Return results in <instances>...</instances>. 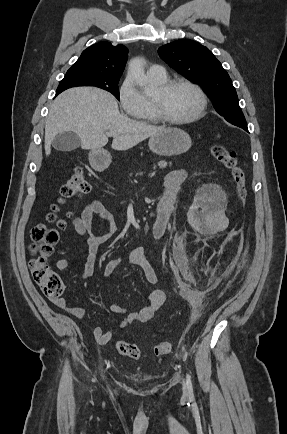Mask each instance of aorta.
I'll list each match as a JSON object with an SVG mask.
<instances>
[{
  "mask_svg": "<svg viewBox=\"0 0 287 434\" xmlns=\"http://www.w3.org/2000/svg\"><path fill=\"white\" fill-rule=\"evenodd\" d=\"M144 63L139 57L132 59L128 66V76L145 91H150L151 86L144 71Z\"/></svg>",
  "mask_w": 287,
  "mask_h": 434,
  "instance_id": "762f6f07",
  "label": "aorta"
}]
</instances>
